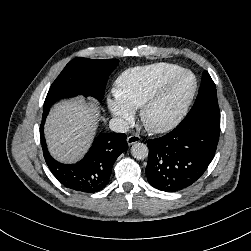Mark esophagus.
I'll return each instance as SVG.
<instances>
[{"instance_id":"esophagus-1","label":"esophagus","mask_w":251,"mask_h":251,"mask_svg":"<svg viewBox=\"0 0 251 251\" xmlns=\"http://www.w3.org/2000/svg\"><path fill=\"white\" fill-rule=\"evenodd\" d=\"M140 140H141L140 136L133 134L127 138V143L128 145H132L139 142Z\"/></svg>"}]
</instances>
